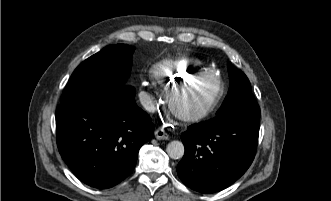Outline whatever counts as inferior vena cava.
I'll use <instances>...</instances> for the list:
<instances>
[{
    "mask_svg": "<svg viewBox=\"0 0 331 201\" xmlns=\"http://www.w3.org/2000/svg\"><path fill=\"white\" fill-rule=\"evenodd\" d=\"M140 102L143 105V107L148 110L149 112H154L156 104L153 100V98L148 95L147 93L140 94Z\"/></svg>",
    "mask_w": 331,
    "mask_h": 201,
    "instance_id": "1",
    "label": "inferior vena cava"
}]
</instances>
